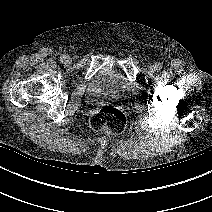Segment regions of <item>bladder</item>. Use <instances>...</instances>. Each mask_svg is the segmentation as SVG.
I'll use <instances>...</instances> for the list:
<instances>
[{
	"label": "bladder",
	"mask_w": 212,
	"mask_h": 212,
	"mask_svg": "<svg viewBox=\"0 0 212 212\" xmlns=\"http://www.w3.org/2000/svg\"><path fill=\"white\" fill-rule=\"evenodd\" d=\"M129 90L127 80L110 69H103L96 73L86 89L89 102L102 99H123Z\"/></svg>",
	"instance_id": "obj_1"
}]
</instances>
